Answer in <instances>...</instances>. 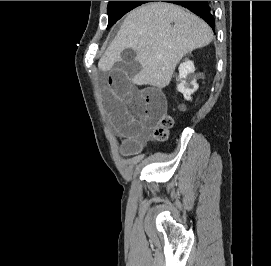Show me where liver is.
Segmentation results:
<instances>
[{
    "instance_id": "6515ba94",
    "label": "liver",
    "mask_w": 271,
    "mask_h": 266,
    "mask_svg": "<svg viewBox=\"0 0 271 266\" xmlns=\"http://www.w3.org/2000/svg\"><path fill=\"white\" fill-rule=\"evenodd\" d=\"M212 39L211 28L198 16L173 4L149 3L127 15L98 68L104 72L121 60L122 51L133 49L144 72L132 77V83L162 89L183 56Z\"/></svg>"
}]
</instances>
